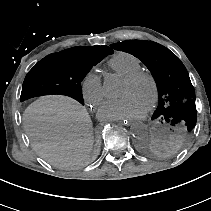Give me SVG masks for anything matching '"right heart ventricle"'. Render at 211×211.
Wrapping results in <instances>:
<instances>
[{
  "instance_id": "1",
  "label": "right heart ventricle",
  "mask_w": 211,
  "mask_h": 211,
  "mask_svg": "<svg viewBox=\"0 0 211 211\" xmlns=\"http://www.w3.org/2000/svg\"><path fill=\"white\" fill-rule=\"evenodd\" d=\"M108 67L121 77H127L142 69L140 60L128 52H118L107 62Z\"/></svg>"
}]
</instances>
